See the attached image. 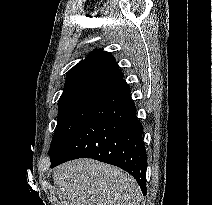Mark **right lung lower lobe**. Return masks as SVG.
<instances>
[{
    "mask_svg": "<svg viewBox=\"0 0 212 205\" xmlns=\"http://www.w3.org/2000/svg\"><path fill=\"white\" fill-rule=\"evenodd\" d=\"M142 134L130 88L122 78L101 95L87 121L63 151L51 159V167L78 158L96 159L126 170L145 195L147 154Z\"/></svg>",
    "mask_w": 212,
    "mask_h": 205,
    "instance_id": "obj_1",
    "label": "right lung lower lobe"
}]
</instances>
